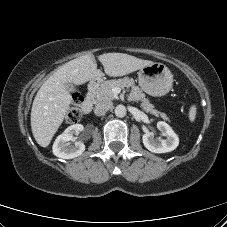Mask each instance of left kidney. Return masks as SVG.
<instances>
[{
  "mask_svg": "<svg viewBox=\"0 0 227 227\" xmlns=\"http://www.w3.org/2000/svg\"><path fill=\"white\" fill-rule=\"evenodd\" d=\"M157 128L165 135V139H154L150 133L142 137L144 146L153 153L171 152L179 145V138L173 129L163 121L157 123Z\"/></svg>",
  "mask_w": 227,
  "mask_h": 227,
  "instance_id": "5707ae66",
  "label": "left kidney"
}]
</instances>
